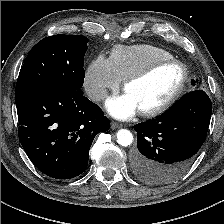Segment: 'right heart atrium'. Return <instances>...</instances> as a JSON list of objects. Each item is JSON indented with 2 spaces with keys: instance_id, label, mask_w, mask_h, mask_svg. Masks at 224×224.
<instances>
[{
  "instance_id": "d8ad5b80",
  "label": "right heart atrium",
  "mask_w": 224,
  "mask_h": 224,
  "mask_svg": "<svg viewBox=\"0 0 224 224\" xmlns=\"http://www.w3.org/2000/svg\"><path fill=\"white\" fill-rule=\"evenodd\" d=\"M120 85L121 80L109 58L99 55L89 64L85 73L84 88L92 101H101L109 91L118 90Z\"/></svg>"
}]
</instances>
